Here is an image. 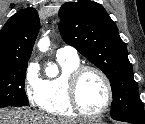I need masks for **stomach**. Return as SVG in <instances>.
<instances>
[{
    "mask_svg": "<svg viewBox=\"0 0 145 124\" xmlns=\"http://www.w3.org/2000/svg\"><path fill=\"white\" fill-rule=\"evenodd\" d=\"M88 124H100V123H88Z\"/></svg>",
    "mask_w": 145,
    "mask_h": 124,
    "instance_id": "stomach-1",
    "label": "stomach"
}]
</instances>
